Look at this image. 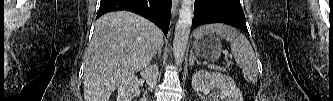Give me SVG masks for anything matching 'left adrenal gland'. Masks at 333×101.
<instances>
[{"mask_svg":"<svg viewBox=\"0 0 333 101\" xmlns=\"http://www.w3.org/2000/svg\"><path fill=\"white\" fill-rule=\"evenodd\" d=\"M195 62H196L198 65L200 64L199 61H198V59L195 57L193 51H191V52H190V59H189V65H190L191 68L193 67V65H194Z\"/></svg>","mask_w":333,"mask_h":101,"instance_id":"a2214340","label":"left adrenal gland"}]
</instances>
